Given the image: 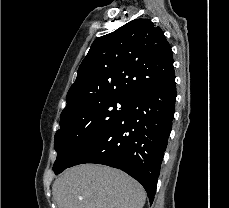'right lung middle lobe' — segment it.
Instances as JSON below:
<instances>
[{
    "label": "right lung middle lobe",
    "mask_w": 229,
    "mask_h": 208,
    "mask_svg": "<svg viewBox=\"0 0 229 208\" xmlns=\"http://www.w3.org/2000/svg\"><path fill=\"white\" fill-rule=\"evenodd\" d=\"M133 99L107 96L81 105L60 117V129L55 134L57 159L55 174L68 168L78 153L94 138L111 127L129 108Z\"/></svg>",
    "instance_id": "1"
}]
</instances>
